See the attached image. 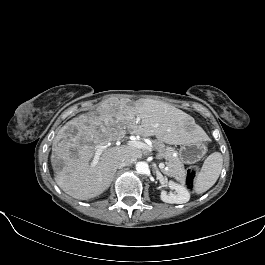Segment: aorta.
I'll return each instance as SVG.
<instances>
[{
  "label": "aorta",
  "mask_w": 265,
  "mask_h": 265,
  "mask_svg": "<svg viewBox=\"0 0 265 265\" xmlns=\"http://www.w3.org/2000/svg\"><path fill=\"white\" fill-rule=\"evenodd\" d=\"M136 171L139 174H147L149 172V165L144 161L138 162L136 164Z\"/></svg>",
  "instance_id": "aorta-1"
}]
</instances>
